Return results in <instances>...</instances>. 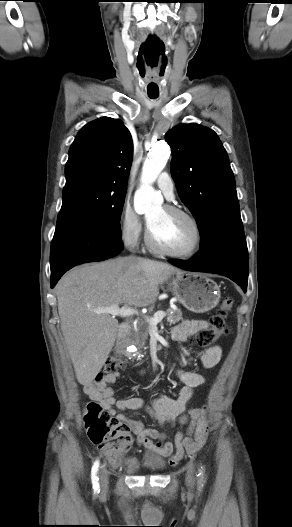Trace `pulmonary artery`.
<instances>
[{
    "instance_id": "e3ab8cb5",
    "label": "pulmonary artery",
    "mask_w": 292,
    "mask_h": 527,
    "mask_svg": "<svg viewBox=\"0 0 292 527\" xmlns=\"http://www.w3.org/2000/svg\"><path fill=\"white\" fill-rule=\"evenodd\" d=\"M157 186L161 189L164 195L171 199L174 196V183L170 175L166 172L161 173L156 180Z\"/></svg>"
}]
</instances>
